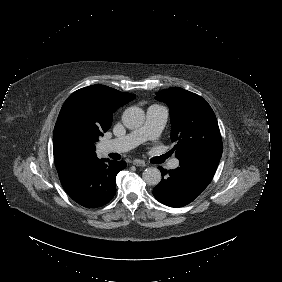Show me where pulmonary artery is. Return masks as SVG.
Instances as JSON below:
<instances>
[{
  "instance_id": "obj_1",
  "label": "pulmonary artery",
  "mask_w": 282,
  "mask_h": 282,
  "mask_svg": "<svg viewBox=\"0 0 282 282\" xmlns=\"http://www.w3.org/2000/svg\"><path fill=\"white\" fill-rule=\"evenodd\" d=\"M169 111L165 106L151 105L147 109L146 120L143 125L132 130L124 137L115 138L106 143V150L108 152H123L130 150L140 143L157 138L162 132L167 119ZM179 165L177 159L170 164L171 168H176Z\"/></svg>"
}]
</instances>
